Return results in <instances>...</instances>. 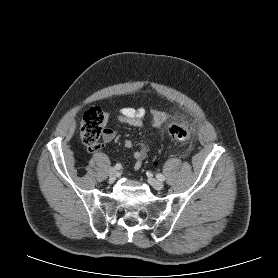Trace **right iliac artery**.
<instances>
[{
    "instance_id": "82829eb1",
    "label": "right iliac artery",
    "mask_w": 278,
    "mask_h": 278,
    "mask_svg": "<svg viewBox=\"0 0 278 278\" xmlns=\"http://www.w3.org/2000/svg\"><path fill=\"white\" fill-rule=\"evenodd\" d=\"M115 168H116L117 170H120V169L122 168V166H121L120 163H117V164L115 165Z\"/></svg>"
}]
</instances>
